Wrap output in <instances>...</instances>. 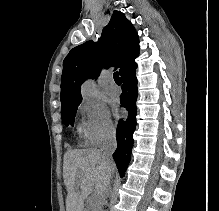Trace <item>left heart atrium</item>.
<instances>
[{"label": "left heart atrium", "mask_w": 219, "mask_h": 211, "mask_svg": "<svg viewBox=\"0 0 219 211\" xmlns=\"http://www.w3.org/2000/svg\"><path fill=\"white\" fill-rule=\"evenodd\" d=\"M115 113L117 116H119V111L118 110H115Z\"/></svg>", "instance_id": "39dd6f15"}]
</instances>
